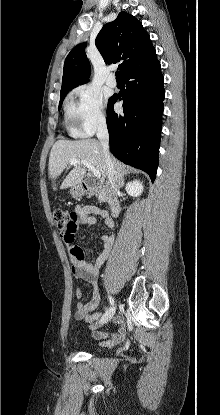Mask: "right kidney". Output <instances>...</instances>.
<instances>
[{
    "mask_svg": "<svg viewBox=\"0 0 220 415\" xmlns=\"http://www.w3.org/2000/svg\"><path fill=\"white\" fill-rule=\"evenodd\" d=\"M125 189L129 195L138 197L143 192V185L138 180H134L133 182L127 183Z\"/></svg>",
    "mask_w": 220,
    "mask_h": 415,
    "instance_id": "obj_1",
    "label": "right kidney"
}]
</instances>
